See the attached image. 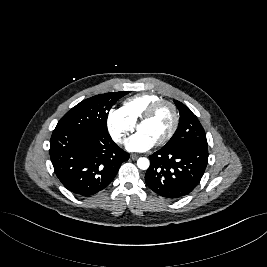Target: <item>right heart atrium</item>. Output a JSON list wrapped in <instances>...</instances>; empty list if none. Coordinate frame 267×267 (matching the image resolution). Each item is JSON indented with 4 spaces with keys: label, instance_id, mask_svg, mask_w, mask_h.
Instances as JSON below:
<instances>
[{
    "label": "right heart atrium",
    "instance_id": "obj_1",
    "mask_svg": "<svg viewBox=\"0 0 267 267\" xmlns=\"http://www.w3.org/2000/svg\"><path fill=\"white\" fill-rule=\"evenodd\" d=\"M107 129L117 143H123L127 136L134 130L133 123L122 108H111L107 113Z\"/></svg>",
    "mask_w": 267,
    "mask_h": 267
}]
</instances>
